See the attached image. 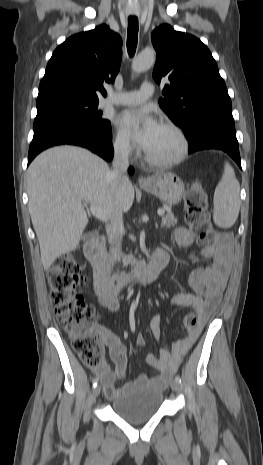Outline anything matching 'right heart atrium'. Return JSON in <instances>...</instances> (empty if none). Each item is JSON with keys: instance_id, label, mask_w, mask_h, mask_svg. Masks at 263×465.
Wrapping results in <instances>:
<instances>
[{"instance_id": "right-heart-atrium-1", "label": "right heart atrium", "mask_w": 263, "mask_h": 465, "mask_svg": "<svg viewBox=\"0 0 263 465\" xmlns=\"http://www.w3.org/2000/svg\"><path fill=\"white\" fill-rule=\"evenodd\" d=\"M112 148L116 155L128 158L134 153V146L130 139L121 131H117L112 139Z\"/></svg>"}]
</instances>
